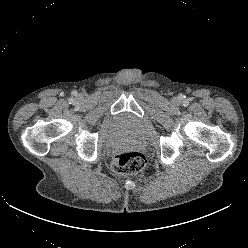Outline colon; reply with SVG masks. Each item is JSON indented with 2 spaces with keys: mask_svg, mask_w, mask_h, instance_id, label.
Masks as SVG:
<instances>
[{
  "mask_svg": "<svg viewBox=\"0 0 248 248\" xmlns=\"http://www.w3.org/2000/svg\"><path fill=\"white\" fill-rule=\"evenodd\" d=\"M146 164L145 156L138 151L118 153L112 160V169L120 175H130L140 172Z\"/></svg>",
  "mask_w": 248,
  "mask_h": 248,
  "instance_id": "5ec220e1",
  "label": "colon"
}]
</instances>
